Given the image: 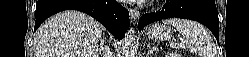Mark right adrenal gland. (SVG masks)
Masks as SVG:
<instances>
[{
    "label": "right adrenal gland",
    "mask_w": 249,
    "mask_h": 57,
    "mask_svg": "<svg viewBox=\"0 0 249 57\" xmlns=\"http://www.w3.org/2000/svg\"><path fill=\"white\" fill-rule=\"evenodd\" d=\"M104 42H105L104 40H101V43H100V44L104 46Z\"/></svg>",
    "instance_id": "2a0ac1e0"
}]
</instances>
